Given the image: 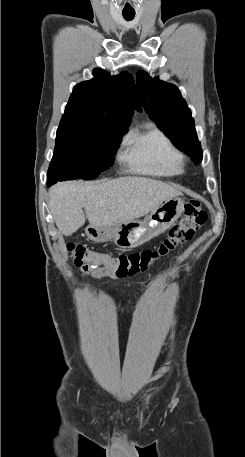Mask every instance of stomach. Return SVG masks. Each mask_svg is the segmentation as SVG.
Returning <instances> with one entry per match:
<instances>
[{"label": "stomach", "instance_id": "0dacf381", "mask_svg": "<svg viewBox=\"0 0 245 457\" xmlns=\"http://www.w3.org/2000/svg\"><path fill=\"white\" fill-rule=\"evenodd\" d=\"M184 208V200L180 196H172L162 200L144 220H124L111 226H86L85 233L90 241L105 243L113 239L115 245L120 249H135L159 237L165 233L171 224L181 216Z\"/></svg>", "mask_w": 245, "mask_h": 457}]
</instances>
